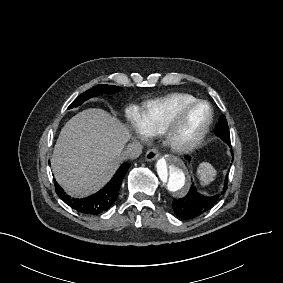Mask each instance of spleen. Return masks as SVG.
Here are the masks:
<instances>
[{
  "label": "spleen",
  "mask_w": 283,
  "mask_h": 283,
  "mask_svg": "<svg viewBox=\"0 0 283 283\" xmlns=\"http://www.w3.org/2000/svg\"><path fill=\"white\" fill-rule=\"evenodd\" d=\"M197 175L201 186H206L215 179L217 171L212 167L211 164L203 162L197 169Z\"/></svg>",
  "instance_id": "obj_1"
}]
</instances>
